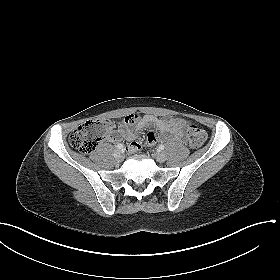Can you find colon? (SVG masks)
I'll use <instances>...</instances> for the list:
<instances>
[{
	"instance_id": "5ec220e1",
	"label": "colon",
	"mask_w": 280,
	"mask_h": 280,
	"mask_svg": "<svg viewBox=\"0 0 280 280\" xmlns=\"http://www.w3.org/2000/svg\"><path fill=\"white\" fill-rule=\"evenodd\" d=\"M135 118H126L125 123H134ZM113 128V122L109 119H99L88 121L78 126L70 135L69 141L72 147L84 154L95 150L100 141ZM187 140L191 147H200L206 140V133L196 125L187 128Z\"/></svg>"
}]
</instances>
